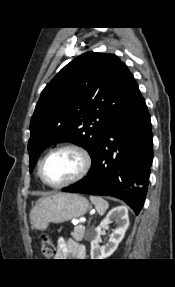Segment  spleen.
Segmentation results:
<instances>
[{
	"label": "spleen",
	"instance_id": "3e777b00",
	"mask_svg": "<svg viewBox=\"0 0 175 287\" xmlns=\"http://www.w3.org/2000/svg\"><path fill=\"white\" fill-rule=\"evenodd\" d=\"M90 200L100 215H103L109 207L108 202L99 196H90Z\"/></svg>",
	"mask_w": 175,
	"mask_h": 287
}]
</instances>
